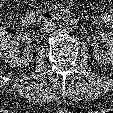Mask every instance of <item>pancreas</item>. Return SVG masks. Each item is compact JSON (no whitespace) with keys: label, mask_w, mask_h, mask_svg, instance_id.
<instances>
[{"label":"pancreas","mask_w":113,"mask_h":113,"mask_svg":"<svg viewBox=\"0 0 113 113\" xmlns=\"http://www.w3.org/2000/svg\"><path fill=\"white\" fill-rule=\"evenodd\" d=\"M46 11V9H38L37 10V12L39 13V12H45Z\"/></svg>","instance_id":"1"}]
</instances>
